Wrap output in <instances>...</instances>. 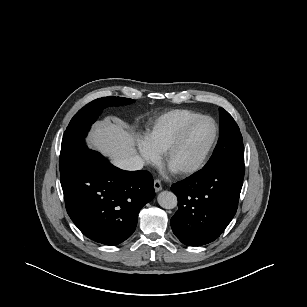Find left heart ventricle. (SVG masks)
Masks as SVG:
<instances>
[{
    "mask_svg": "<svg viewBox=\"0 0 307 307\" xmlns=\"http://www.w3.org/2000/svg\"><path fill=\"white\" fill-rule=\"evenodd\" d=\"M214 136V125L209 120L195 124L187 133L169 160L172 170L196 164L203 156Z\"/></svg>",
    "mask_w": 307,
    "mask_h": 307,
    "instance_id": "b2bd125f",
    "label": "left heart ventricle"
}]
</instances>
